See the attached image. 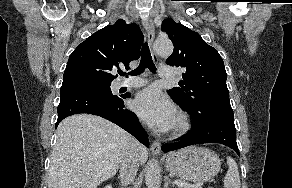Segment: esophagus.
I'll use <instances>...</instances> for the list:
<instances>
[{
	"label": "esophagus",
	"instance_id": "esophagus-1",
	"mask_svg": "<svg viewBox=\"0 0 292 188\" xmlns=\"http://www.w3.org/2000/svg\"><path fill=\"white\" fill-rule=\"evenodd\" d=\"M143 25L147 31L148 43L152 47L154 37H155V28L152 20L150 18H145L143 20ZM153 60L156 62L158 60L157 55L152 51ZM150 151L153 155H159L161 151V144L159 141H154L151 145Z\"/></svg>",
	"mask_w": 292,
	"mask_h": 188
}]
</instances>
